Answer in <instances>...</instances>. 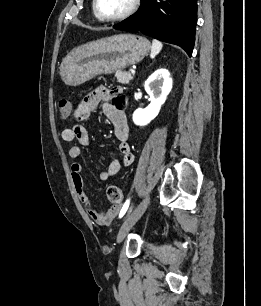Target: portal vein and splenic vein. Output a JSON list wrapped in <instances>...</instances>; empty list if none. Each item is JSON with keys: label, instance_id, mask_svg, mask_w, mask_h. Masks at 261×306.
I'll return each instance as SVG.
<instances>
[{"label": "portal vein and splenic vein", "instance_id": "18ae733b", "mask_svg": "<svg viewBox=\"0 0 261 306\" xmlns=\"http://www.w3.org/2000/svg\"><path fill=\"white\" fill-rule=\"evenodd\" d=\"M131 74H133V75H134V74H135V70H131Z\"/></svg>", "mask_w": 261, "mask_h": 306}]
</instances>
